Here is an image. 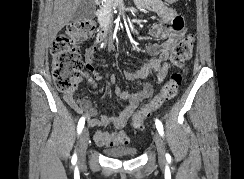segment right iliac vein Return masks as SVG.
Masks as SVG:
<instances>
[{
  "mask_svg": "<svg viewBox=\"0 0 244 179\" xmlns=\"http://www.w3.org/2000/svg\"><path fill=\"white\" fill-rule=\"evenodd\" d=\"M88 140H89V134L87 130H83L80 139H79V161L80 163H83L85 158H86V151H87V146H88Z\"/></svg>",
  "mask_w": 244,
  "mask_h": 179,
  "instance_id": "obj_1",
  "label": "right iliac vein"
}]
</instances>
